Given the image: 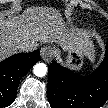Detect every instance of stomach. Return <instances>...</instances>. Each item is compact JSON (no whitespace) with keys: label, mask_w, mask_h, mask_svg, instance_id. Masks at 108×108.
Here are the masks:
<instances>
[{"label":"stomach","mask_w":108,"mask_h":108,"mask_svg":"<svg viewBox=\"0 0 108 108\" xmlns=\"http://www.w3.org/2000/svg\"><path fill=\"white\" fill-rule=\"evenodd\" d=\"M67 56L65 57V65L73 70H79L82 68L87 55L77 50H66ZM55 56L60 54V50L54 48Z\"/></svg>","instance_id":"0dacf381"}]
</instances>
